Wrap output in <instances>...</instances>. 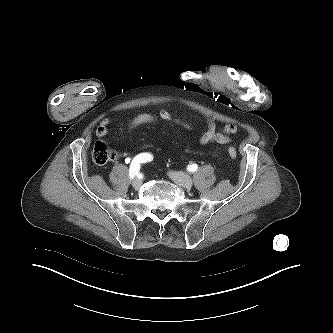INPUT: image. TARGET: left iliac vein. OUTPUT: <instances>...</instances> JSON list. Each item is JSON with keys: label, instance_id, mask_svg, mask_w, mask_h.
Masks as SVG:
<instances>
[{"label": "left iliac vein", "instance_id": "obj_1", "mask_svg": "<svg viewBox=\"0 0 333 333\" xmlns=\"http://www.w3.org/2000/svg\"><path fill=\"white\" fill-rule=\"evenodd\" d=\"M168 175L179 186L191 188L193 185V181L188 174L181 172H169Z\"/></svg>", "mask_w": 333, "mask_h": 333}]
</instances>
